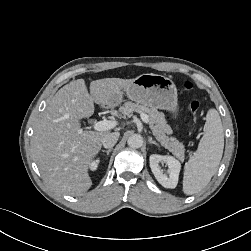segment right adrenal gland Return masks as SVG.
Here are the masks:
<instances>
[{
	"instance_id": "obj_1",
	"label": "right adrenal gland",
	"mask_w": 251,
	"mask_h": 251,
	"mask_svg": "<svg viewBox=\"0 0 251 251\" xmlns=\"http://www.w3.org/2000/svg\"><path fill=\"white\" fill-rule=\"evenodd\" d=\"M112 151V148H110V149H108V150H102V152L104 153H106L107 154V156L109 155V153Z\"/></svg>"
}]
</instances>
